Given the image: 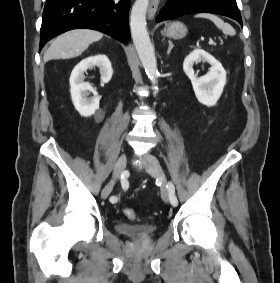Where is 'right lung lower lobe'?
<instances>
[{
  "mask_svg": "<svg viewBox=\"0 0 280 283\" xmlns=\"http://www.w3.org/2000/svg\"><path fill=\"white\" fill-rule=\"evenodd\" d=\"M130 0H47L39 50L53 37L78 28L101 31L122 43L130 41Z\"/></svg>",
  "mask_w": 280,
  "mask_h": 283,
  "instance_id": "right-lung-lower-lobe-1",
  "label": "right lung lower lobe"
}]
</instances>
